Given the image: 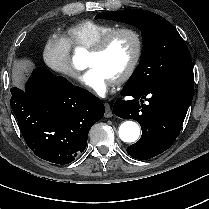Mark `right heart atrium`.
<instances>
[{
    "label": "right heart atrium",
    "instance_id": "1",
    "mask_svg": "<svg viewBox=\"0 0 209 209\" xmlns=\"http://www.w3.org/2000/svg\"><path fill=\"white\" fill-rule=\"evenodd\" d=\"M43 60L55 73L78 80L79 72L73 65L70 55V44L61 35H50L43 46Z\"/></svg>",
    "mask_w": 209,
    "mask_h": 209
}]
</instances>
